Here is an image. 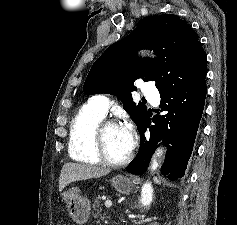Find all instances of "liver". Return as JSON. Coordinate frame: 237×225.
<instances>
[{
	"label": "liver",
	"instance_id": "1",
	"mask_svg": "<svg viewBox=\"0 0 237 225\" xmlns=\"http://www.w3.org/2000/svg\"><path fill=\"white\" fill-rule=\"evenodd\" d=\"M109 172V169L98 166L66 163L61 169L59 177V191L62 192L63 189L71 182L99 178L107 175Z\"/></svg>",
	"mask_w": 237,
	"mask_h": 225
}]
</instances>
